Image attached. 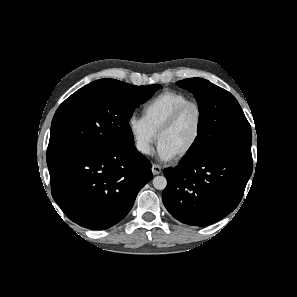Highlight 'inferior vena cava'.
<instances>
[{"label":"inferior vena cava","mask_w":297,"mask_h":297,"mask_svg":"<svg viewBox=\"0 0 297 297\" xmlns=\"http://www.w3.org/2000/svg\"><path fill=\"white\" fill-rule=\"evenodd\" d=\"M137 149L142 153L149 154L151 152L150 145L145 141H139L136 145Z\"/></svg>","instance_id":"602c4592"}]
</instances>
